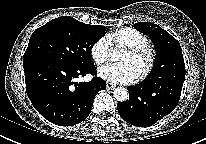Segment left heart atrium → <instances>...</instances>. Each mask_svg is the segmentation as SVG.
Listing matches in <instances>:
<instances>
[{
  "label": "left heart atrium",
  "instance_id": "left-heart-atrium-1",
  "mask_svg": "<svg viewBox=\"0 0 206 144\" xmlns=\"http://www.w3.org/2000/svg\"><path fill=\"white\" fill-rule=\"evenodd\" d=\"M98 74L112 83H130L137 78L134 68L128 63L108 64L100 68Z\"/></svg>",
  "mask_w": 206,
  "mask_h": 144
}]
</instances>
